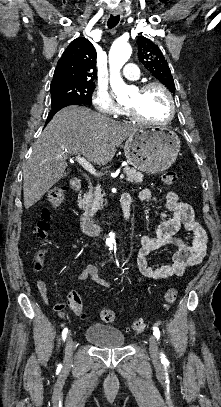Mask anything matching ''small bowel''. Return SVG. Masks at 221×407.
<instances>
[{
  "instance_id": "small-bowel-1",
  "label": "small bowel",
  "mask_w": 221,
  "mask_h": 407,
  "mask_svg": "<svg viewBox=\"0 0 221 407\" xmlns=\"http://www.w3.org/2000/svg\"><path fill=\"white\" fill-rule=\"evenodd\" d=\"M126 193L132 199L131 194ZM139 199L143 202H153L161 206L159 211L161 222L151 234L142 237L137 256L138 273L135 275L136 280L139 283L165 281L183 275L188 267L199 263L206 255L207 235L199 224L193 207L188 203L179 201L174 192H168L165 198L160 200L149 189L144 188L139 192ZM181 227L191 234L190 244H186L177 236V232ZM167 244H175L178 248L172 257V263L151 266L148 263L149 254ZM35 268L40 269L41 267L35 265ZM89 276L101 286L112 287L108 281L98 275V269L93 265H89L79 273L80 279ZM37 288L44 303L49 304L47 286L41 277L37 278ZM74 297L73 293H69L67 301L70 302ZM63 308V303L53 305L56 312H60Z\"/></svg>"
}]
</instances>
